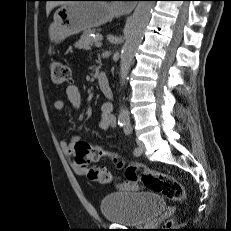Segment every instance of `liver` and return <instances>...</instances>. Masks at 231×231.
<instances>
[{
  "instance_id": "1",
  "label": "liver",
  "mask_w": 231,
  "mask_h": 231,
  "mask_svg": "<svg viewBox=\"0 0 231 231\" xmlns=\"http://www.w3.org/2000/svg\"><path fill=\"white\" fill-rule=\"evenodd\" d=\"M58 5H64V2H61V1H51V2H47V4H46V12H47V14H49L50 11H51L54 7H56V6H58Z\"/></svg>"
}]
</instances>
